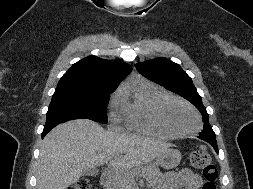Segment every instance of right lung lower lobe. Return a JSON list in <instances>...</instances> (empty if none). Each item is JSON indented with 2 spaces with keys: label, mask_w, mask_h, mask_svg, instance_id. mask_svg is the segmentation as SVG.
Segmentation results:
<instances>
[{
  "label": "right lung lower lobe",
  "mask_w": 253,
  "mask_h": 189,
  "mask_svg": "<svg viewBox=\"0 0 253 189\" xmlns=\"http://www.w3.org/2000/svg\"><path fill=\"white\" fill-rule=\"evenodd\" d=\"M64 121H59V122H53V123H48L44 126V130L42 132V138L52 129L54 128L56 125H58L59 123H62Z\"/></svg>",
  "instance_id": "98d812e1"
}]
</instances>
